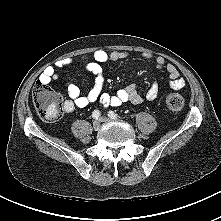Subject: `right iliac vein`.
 <instances>
[{
	"mask_svg": "<svg viewBox=\"0 0 221 221\" xmlns=\"http://www.w3.org/2000/svg\"><path fill=\"white\" fill-rule=\"evenodd\" d=\"M100 127H101V121H100V120H95V121L93 122V128H94L95 130H99Z\"/></svg>",
	"mask_w": 221,
	"mask_h": 221,
	"instance_id": "right-iliac-vein-1",
	"label": "right iliac vein"
}]
</instances>
